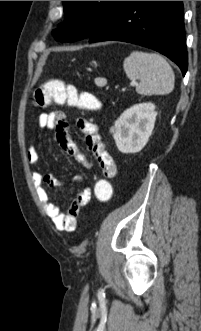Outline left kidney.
Returning <instances> with one entry per match:
<instances>
[{
  "mask_svg": "<svg viewBox=\"0 0 201 331\" xmlns=\"http://www.w3.org/2000/svg\"><path fill=\"white\" fill-rule=\"evenodd\" d=\"M157 112L152 103L136 104L115 122L113 138L122 153H137L147 144L154 129Z\"/></svg>",
  "mask_w": 201,
  "mask_h": 331,
  "instance_id": "5707ae66",
  "label": "left kidney"
}]
</instances>
